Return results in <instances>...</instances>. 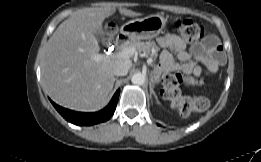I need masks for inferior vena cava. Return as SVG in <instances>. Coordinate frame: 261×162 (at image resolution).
Returning a JSON list of instances; mask_svg holds the SVG:
<instances>
[{"mask_svg": "<svg viewBox=\"0 0 261 162\" xmlns=\"http://www.w3.org/2000/svg\"><path fill=\"white\" fill-rule=\"evenodd\" d=\"M132 63L131 61H119L115 64L113 69V74L116 76H125L127 75Z\"/></svg>", "mask_w": 261, "mask_h": 162, "instance_id": "inferior-vena-cava-1", "label": "inferior vena cava"}]
</instances>
